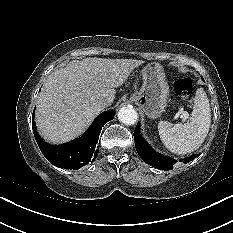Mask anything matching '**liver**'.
I'll return each mask as SVG.
<instances>
[{
	"instance_id": "obj_1",
	"label": "liver",
	"mask_w": 233,
	"mask_h": 233,
	"mask_svg": "<svg viewBox=\"0 0 233 233\" xmlns=\"http://www.w3.org/2000/svg\"><path fill=\"white\" fill-rule=\"evenodd\" d=\"M144 61L134 59L85 58L72 60L53 71L36 101V124L51 143L78 136L104 109L99 100L115 99V88Z\"/></svg>"
}]
</instances>
